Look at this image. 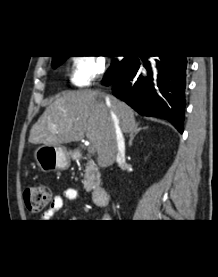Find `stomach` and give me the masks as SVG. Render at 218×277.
<instances>
[{"label":"stomach","instance_id":"obj_1","mask_svg":"<svg viewBox=\"0 0 218 277\" xmlns=\"http://www.w3.org/2000/svg\"><path fill=\"white\" fill-rule=\"evenodd\" d=\"M34 158L43 172L65 170L70 166V154L63 146L42 145L35 150Z\"/></svg>","mask_w":218,"mask_h":277}]
</instances>
